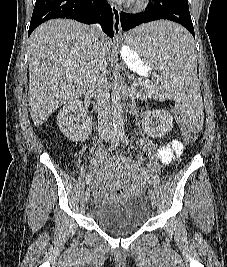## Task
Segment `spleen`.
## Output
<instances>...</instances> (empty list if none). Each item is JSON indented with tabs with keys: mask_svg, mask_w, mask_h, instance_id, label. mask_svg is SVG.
Masks as SVG:
<instances>
[{
	"mask_svg": "<svg viewBox=\"0 0 227 267\" xmlns=\"http://www.w3.org/2000/svg\"><path fill=\"white\" fill-rule=\"evenodd\" d=\"M124 43L138 51L142 63H157L165 95L188 106H177L180 115H202L197 79L196 38H191L182 22L175 19H152L126 31ZM188 129H203L206 116H183Z\"/></svg>",
	"mask_w": 227,
	"mask_h": 267,
	"instance_id": "1",
	"label": "spleen"
}]
</instances>
